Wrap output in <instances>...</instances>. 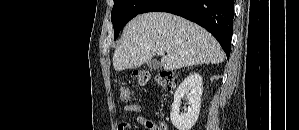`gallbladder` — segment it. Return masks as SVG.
<instances>
[{
  "label": "gallbladder",
  "mask_w": 299,
  "mask_h": 130,
  "mask_svg": "<svg viewBox=\"0 0 299 130\" xmlns=\"http://www.w3.org/2000/svg\"><path fill=\"white\" fill-rule=\"evenodd\" d=\"M147 66L150 69H158L161 67L160 63L156 60H151V61L147 62Z\"/></svg>",
  "instance_id": "bac80fb5"
}]
</instances>
